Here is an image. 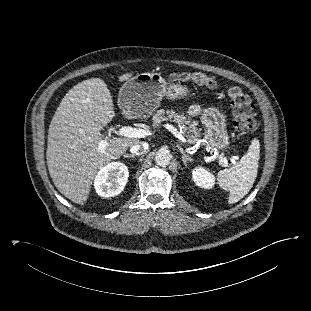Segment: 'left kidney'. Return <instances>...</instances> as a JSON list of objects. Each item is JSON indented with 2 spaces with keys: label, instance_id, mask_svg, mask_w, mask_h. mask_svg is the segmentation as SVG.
I'll use <instances>...</instances> for the list:
<instances>
[{
  "label": "left kidney",
  "instance_id": "1",
  "mask_svg": "<svg viewBox=\"0 0 311 311\" xmlns=\"http://www.w3.org/2000/svg\"><path fill=\"white\" fill-rule=\"evenodd\" d=\"M195 184L199 187L210 189L214 185V177L204 168L198 167L192 171Z\"/></svg>",
  "mask_w": 311,
  "mask_h": 311
}]
</instances>
